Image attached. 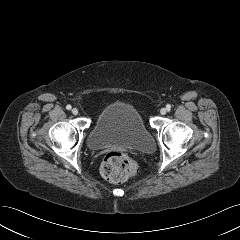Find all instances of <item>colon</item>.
<instances>
[{
    "instance_id": "colon-1",
    "label": "colon",
    "mask_w": 240,
    "mask_h": 240,
    "mask_svg": "<svg viewBox=\"0 0 240 240\" xmlns=\"http://www.w3.org/2000/svg\"><path fill=\"white\" fill-rule=\"evenodd\" d=\"M137 173V164L125 153L119 151L109 152L102 164V176L111 182H124Z\"/></svg>"
}]
</instances>
